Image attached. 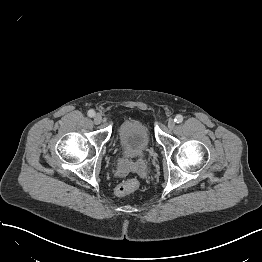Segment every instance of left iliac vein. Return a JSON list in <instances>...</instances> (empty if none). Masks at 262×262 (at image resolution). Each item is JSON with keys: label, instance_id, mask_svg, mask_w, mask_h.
<instances>
[{"label": "left iliac vein", "instance_id": "left-iliac-vein-1", "mask_svg": "<svg viewBox=\"0 0 262 262\" xmlns=\"http://www.w3.org/2000/svg\"><path fill=\"white\" fill-rule=\"evenodd\" d=\"M175 127V122L173 119H169L168 121V128L173 129Z\"/></svg>", "mask_w": 262, "mask_h": 262}]
</instances>
